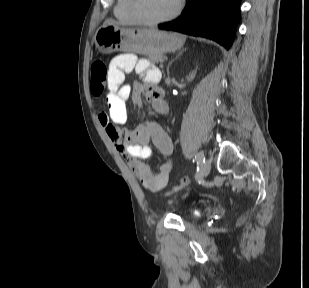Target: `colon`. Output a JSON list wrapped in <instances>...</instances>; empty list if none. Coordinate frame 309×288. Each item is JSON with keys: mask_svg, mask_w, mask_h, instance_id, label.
Instances as JSON below:
<instances>
[{"mask_svg": "<svg viewBox=\"0 0 309 288\" xmlns=\"http://www.w3.org/2000/svg\"><path fill=\"white\" fill-rule=\"evenodd\" d=\"M90 75H91V91L94 95H100L104 92L107 86V77H108V68L105 62L103 61H96L91 65L90 68ZM190 180L187 177H183L180 179L179 183L172 187L165 196H169L174 194L181 189L188 186Z\"/></svg>", "mask_w": 309, "mask_h": 288, "instance_id": "5ec220e1", "label": "colon"}]
</instances>
